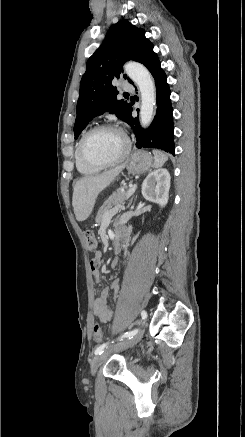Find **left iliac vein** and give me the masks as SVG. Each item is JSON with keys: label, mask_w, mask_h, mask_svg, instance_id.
Returning a JSON list of instances; mask_svg holds the SVG:
<instances>
[{"label": "left iliac vein", "mask_w": 245, "mask_h": 437, "mask_svg": "<svg viewBox=\"0 0 245 437\" xmlns=\"http://www.w3.org/2000/svg\"><path fill=\"white\" fill-rule=\"evenodd\" d=\"M143 334H144V330L140 329L132 338H130V339L128 338L127 340L117 344L113 348H111L107 351H104L100 355H97L91 363V374L92 375L96 374L97 369L99 368L101 363L108 357L109 354H111L114 351H119V350L126 349L128 347L134 346L135 344H137L141 340V338L143 337Z\"/></svg>", "instance_id": "obj_1"}]
</instances>
